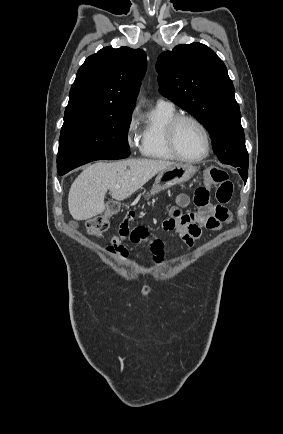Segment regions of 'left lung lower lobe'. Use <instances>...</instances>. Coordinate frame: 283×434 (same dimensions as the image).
<instances>
[{"instance_id":"0a47b994","label":"left lung lower lobe","mask_w":283,"mask_h":434,"mask_svg":"<svg viewBox=\"0 0 283 434\" xmlns=\"http://www.w3.org/2000/svg\"><path fill=\"white\" fill-rule=\"evenodd\" d=\"M237 167H238V171H239L242 179L244 180V182H246L247 177H248V172H247L248 166L241 165V166H237Z\"/></svg>"}]
</instances>
